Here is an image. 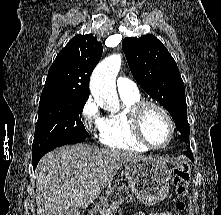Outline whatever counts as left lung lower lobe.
<instances>
[{"label": "left lung lower lobe", "mask_w": 221, "mask_h": 215, "mask_svg": "<svg viewBox=\"0 0 221 215\" xmlns=\"http://www.w3.org/2000/svg\"><path fill=\"white\" fill-rule=\"evenodd\" d=\"M187 156L193 159V154L191 152H186Z\"/></svg>", "instance_id": "obj_1"}]
</instances>
